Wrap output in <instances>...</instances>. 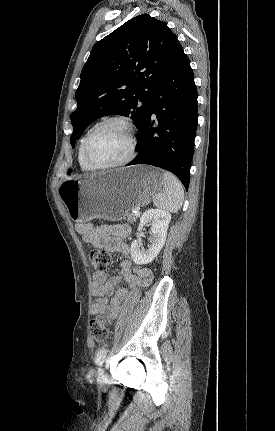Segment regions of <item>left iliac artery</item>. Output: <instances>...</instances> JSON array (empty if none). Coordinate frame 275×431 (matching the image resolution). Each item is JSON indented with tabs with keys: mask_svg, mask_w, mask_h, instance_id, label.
<instances>
[{
	"mask_svg": "<svg viewBox=\"0 0 275 431\" xmlns=\"http://www.w3.org/2000/svg\"><path fill=\"white\" fill-rule=\"evenodd\" d=\"M107 353H108V349L107 348H102V349H100L97 352L96 358H95V362H96V364H97L98 367H101L103 365Z\"/></svg>",
	"mask_w": 275,
	"mask_h": 431,
	"instance_id": "44dca946",
	"label": "left iliac artery"
}]
</instances>
